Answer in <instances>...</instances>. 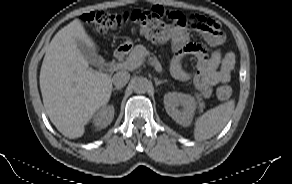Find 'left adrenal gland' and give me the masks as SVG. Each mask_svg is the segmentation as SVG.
I'll return each instance as SVG.
<instances>
[{"label":"left adrenal gland","instance_id":"left-adrenal-gland-1","mask_svg":"<svg viewBox=\"0 0 292 184\" xmlns=\"http://www.w3.org/2000/svg\"><path fill=\"white\" fill-rule=\"evenodd\" d=\"M166 82H167V80H158V78H155V84H156V86H158V85H160L162 83H166Z\"/></svg>","mask_w":292,"mask_h":184}]
</instances>
